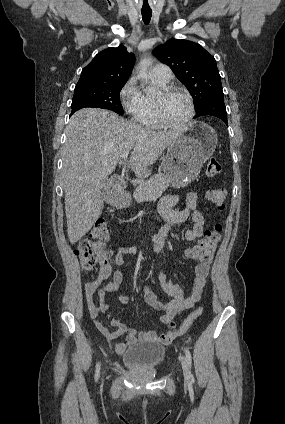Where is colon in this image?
I'll use <instances>...</instances> for the list:
<instances>
[{"instance_id":"obj_1","label":"colon","mask_w":285,"mask_h":424,"mask_svg":"<svg viewBox=\"0 0 285 424\" xmlns=\"http://www.w3.org/2000/svg\"><path fill=\"white\" fill-rule=\"evenodd\" d=\"M222 170L221 162L216 157H210L206 163V175L214 177ZM206 197L210 203L218 210L225 208L226 191L224 189H209ZM222 226L214 225L212 230L207 231L205 237L194 247L192 257L197 260H210L220 242ZM110 227L106 220H98L90 237L84 239L76 248L75 254L79 258L84 270H92L95 266H110L111 253L105 247V242L109 239ZM203 309L201 307L192 311L184 322L180 325L179 331L184 333L201 316Z\"/></svg>"}]
</instances>
